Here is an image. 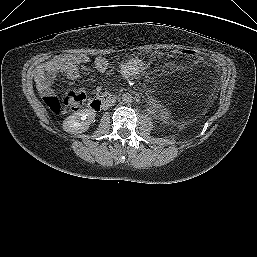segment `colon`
Returning a JSON list of instances; mask_svg holds the SVG:
<instances>
[{
  "label": "colon",
  "mask_w": 257,
  "mask_h": 257,
  "mask_svg": "<svg viewBox=\"0 0 257 257\" xmlns=\"http://www.w3.org/2000/svg\"><path fill=\"white\" fill-rule=\"evenodd\" d=\"M177 52L187 58H196L198 53L193 49H180ZM85 94L81 91H70L62 100L55 96H47L44 98L46 105L55 114L63 112L65 107L71 108L72 110H78L83 107L85 102Z\"/></svg>",
  "instance_id": "obj_1"
}]
</instances>
